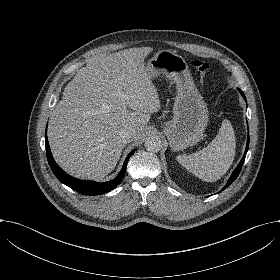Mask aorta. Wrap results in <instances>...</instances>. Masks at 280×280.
Listing matches in <instances>:
<instances>
[{"instance_id":"aorta-1","label":"aorta","mask_w":280,"mask_h":280,"mask_svg":"<svg viewBox=\"0 0 280 280\" xmlns=\"http://www.w3.org/2000/svg\"><path fill=\"white\" fill-rule=\"evenodd\" d=\"M145 148L149 152H156L162 147V140L157 135H150L145 139Z\"/></svg>"}]
</instances>
